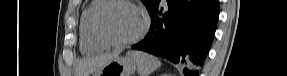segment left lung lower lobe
Returning <instances> with one entry per match:
<instances>
[{
    "instance_id": "0a47b994",
    "label": "left lung lower lobe",
    "mask_w": 287,
    "mask_h": 76,
    "mask_svg": "<svg viewBox=\"0 0 287 76\" xmlns=\"http://www.w3.org/2000/svg\"><path fill=\"white\" fill-rule=\"evenodd\" d=\"M150 12L151 27L133 49L185 65L184 73L198 76L211 46L219 16V0H166Z\"/></svg>"
}]
</instances>
